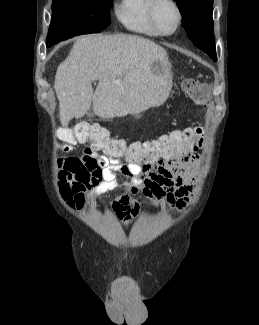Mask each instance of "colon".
Masks as SVG:
<instances>
[{
    "label": "colon",
    "instance_id": "colon-1",
    "mask_svg": "<svg viewBox=\"0 0 259 325\" xmlns=\"http://www.w3.org/2000/svg\"><path fill=\"white\" fill-rule=\"evenodd\" d=\"M182 89L195 103L206 104L209 100L208 86L194 78L185 79ZM205 132L203 125H194V128L173 131L153 140L127 143L110 136L108 131L99 125L82 123L60 132L56 146L60 150L67 151L76 142L88 141L91 148L102 150L111 157L144 162L175 149H199V142H203ZM74 160L79 164V159Z\"/></svg>",
    "mask_w": 259,
    "mask_h": 325
}]
</instances>
